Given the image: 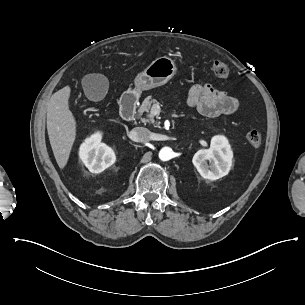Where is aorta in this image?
I'll use <instances>...</instances> for the list:
<instances>
[{"mask_svg":"<svg viewBox=\"0 0 305 305\" xmlns=\"http://www.w3.org/2000/svg\"><path fill=\"white\" fill-rule=\"evenodd\" d=\"M172 156H173V151L170 147H163L159 151V158L162 161H168L172 158Z\"/></svg>","mask_w":305,"mask_h":305,"instance_id":"aorta-1","label":"aorta"}]
</instances>
